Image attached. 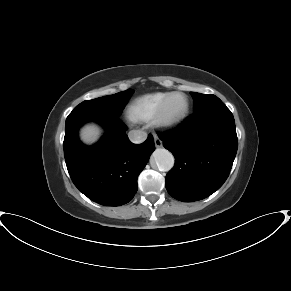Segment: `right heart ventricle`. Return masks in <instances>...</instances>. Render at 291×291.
Wrapping results in <instances>:
<instances>
[{"label": "right heart ventricle", "mask_w": 291, "mask_h": 291, "mask_svg": "<svg viewBox=\"0 0 291 291\" xmlns=\"http://www.w3.org/2000/svg\"><path fill=\"white\" fill-rule=\"evenodd\" d=\"M170 93H152L133 100L128 106L129 116L137 121H150L155 116Z\"/></svg>", "instance_id": "right-heart-ventricle-1"}]
</instances>
